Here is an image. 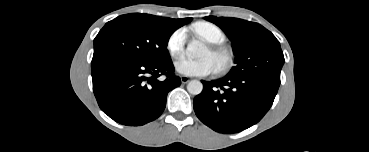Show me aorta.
<instances>
[{"label":"aorta","mask_w":369,"mask_h":152,"mask_svg":"<svg viewBox=\"0 0 369 152\" xmlns=\"http://www.w3.org/2000/svg\"><path fill=\"white\" fill-rule=\"evenodd\" d=\"M206 52L203 42L193 39L188 43L187 53L192 57H201ZM187 90L192 95H199L203 90V84L198 80H191L187 84Z\"/></svg>","instance_id":"aorta-1"}]
</instances>
